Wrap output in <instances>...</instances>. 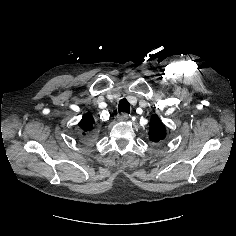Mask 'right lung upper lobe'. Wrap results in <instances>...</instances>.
<instances>
[{
    "instance_id": "1",
    "label": "right lung upper lobe",
    "mask_w": 236,
    "mask_h": 236,
    "mask_svg": "<svg viewBox=\"0 0 236 236\" xmlns=\"http://www.w3.org/2000/svg\"><path fill=\"white\" fill-rule=\"evenodd\" d=\"M94 123V119L90 114H86L82 120L79 122V126L84 131H88L92 128V124Z\"/></svg>"
}]
</instances>
